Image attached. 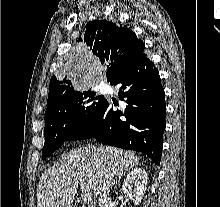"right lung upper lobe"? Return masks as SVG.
<instances>
[{
  "mask_svg": "<svg viewBox=\"0 0 220 207\" xmlns=\"http://www.w3.org/2000/svg\"><path fill=\"white\" fill-rule=\"evenodd\" d=\"M90 50L107 65V81H112L120 70L144 51L145 44L127 26L107 20H94L86 25L84 38H79ZM56 78L50 80L47 109L45 114L64 97L76 92L70 80Z\"/></svg>",
  "mask_w": 220,
  "mask_h": 207,
  "instance_id": "cb5924a9",
  "label": "right lung upper lobe"
}]
</instances>
